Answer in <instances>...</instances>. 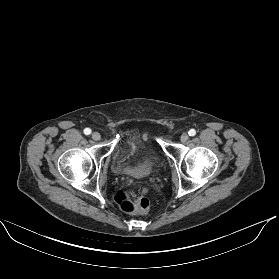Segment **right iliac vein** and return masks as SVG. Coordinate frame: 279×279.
<instances>
[{
	"label": "right iliac vein",
	"mask_w": 279,
	"mask_h": 279,
	"mask_svg": "<svg viewBox=\"0 0 279 279\" xmlns=\"http://www.w3.org/2000/svg\"><path fill=\"white\" fill-rule=\"evenodd\" d=\"M100 138H101L100 133L94 132V133L92 134V139H93V140L98 141V140H100Z\"/></svg>",
	"instance_id": "obj_1"
}]
</instances>
